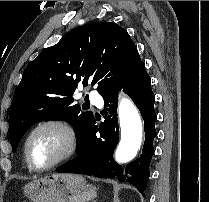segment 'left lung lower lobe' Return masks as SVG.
Instances as JSON below:
<instances>
[{
    "mask_svg": "<svg viewBox=\"0 0 209 202\" xmlns=\"http://www.w3.org/2000/svg\"><path fill=\"white\" fill-rule=\"evenodd\" d=\"M122 88L140 110L145 131V142L140 158L129 163L124 170L113 159L119 140L118 90ZM102 96L107 115L104 117L105 121L98 126L96 125L97 119L94 118L83 138L77 142L78 157L59 167L57 172L117 178L121 182L131 183L139 192H143L150 176L149 165L154 154L153 140L157 134L155 96L151 90V80L146 72L145 64L137 66ZM97 133H100V136Z\"/></svg>",
    "mask_w": 209,
    "mask_h": 202,
    "instance_id": "left-lung-lower-lobe-1",
    "label": "left lung lower lobe"
}]
</instances>
